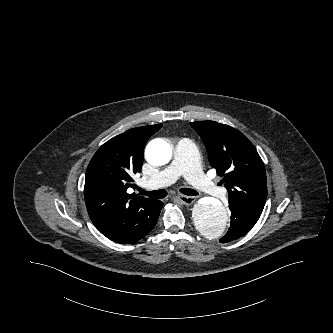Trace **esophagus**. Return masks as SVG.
<instances>
[{
    "label": "esophagus",
    "instance_id": "1",
    "mask_svg": "<svg viewBox=\"0 0 333 333\" xmlns=\"http://www.w3.org/2000/svg\"><path fill=\"white\" fill-rule=\"evenodd\" d=\"M178 199L180 200L181 203L184 205H191L195 202V198L192 196H186V195H179Z\"/></svg>",
    "mask_w": 333,
    "mask_h": 333
}]
</instances>
